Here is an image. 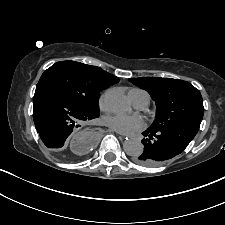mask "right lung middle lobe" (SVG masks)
Returning a JSON list of instances; mask_svg holds the SVG:
<instances>
[{"mask_svg": "<svg viewBox=\"0 0 225 225\" xmlns=\"http://www.w3.org/2000/svg\"><path fill=\"white\" fill-rule=\"evenodd\" d=\"M38 84L53 87L95 117L99 116L100 92L108 88L94 77L87 65L75 61L55 63L42 74Z\"/></svg>", "mask_w": 225, "mask_h": 225, "instance_id": "dd1d6c3e", "label": "right lung middle lobe"}]
</instances>
